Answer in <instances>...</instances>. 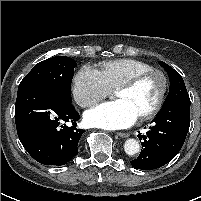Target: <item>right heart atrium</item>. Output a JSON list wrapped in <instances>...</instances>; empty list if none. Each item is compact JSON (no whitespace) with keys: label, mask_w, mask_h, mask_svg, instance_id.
Returning a JSON list of instances; mask_svg holds the SVG:
<instances>
[{"label":"right heart atrium","mask_w":201,"mask_h":201,"mask_svg":"<svg viewBox=\"0 0 201 201\" xmlns=\"http://www.w3.org/2000/svg\"><path fill=\"white\" fill-rule=\"evenodd\" d=\"M110 90L100 71L89 65L83 66L73 78V98L82 108L96 105Z\"/></svg>","instance_id":"d8ad5b80"}]
</instances>
